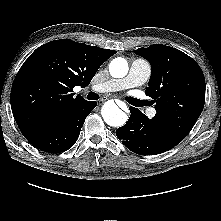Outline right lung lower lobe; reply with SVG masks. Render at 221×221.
<instances>
[{
	"mask_svg": "<svg viewBox=\"0 0 221 221\" xmlns=\"http://www.w3.org/2000/svg\"><path fill=\"white\" fill-rule=\"evenodd\" d=\"M96 105L95 101H87L72 114L46 126L28 138L29 142L48 153H60L68 150L77 141L86 117Z\"/></svg>",
	"mask_w": 221,
	"mask_h": 221,
	"instance_id": "98d812e1",
	"label": "right lung lower lobe"
}]
</instances>
